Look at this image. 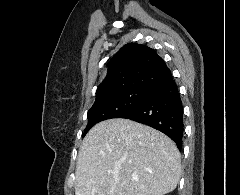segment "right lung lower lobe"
<instances>
[{
    "instance_id": "98d812e1",
    "label": "right lung lower lobe",
    "mask_w": 240,
    "mask_h": 195,
    "mask_svg": "<svg viewBox=\"0 0 240 195\" xmlns=\"http://www.w3.org/2000/svg\"><path fill=\"white\" fill-rule=\"evenodd\" d=\"M119 118L151 126L170 137L182 149L183 105L173 77L153 86L142 102Z\"/></svg>"
}]
</instances>
